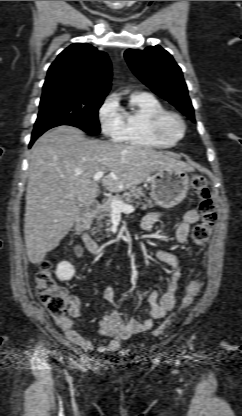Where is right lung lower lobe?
<instances>
[{"mask_svg": "<svg viewBox=\"0 0 242 416\" xmlns=\"http://www.w3.org/2000/svg\"><path fill=\"white\" fill-rule=\"evenodd\" d=\"M41 134H35V135H32V137H31V141H30V144H29V148L32 146V144L34 143V141L40 136Z\"/></svg>", "mask_w": 242, "mask_h": 416, "instance_id": "1", "label": "right lung lower lobe"}]
</instances>
